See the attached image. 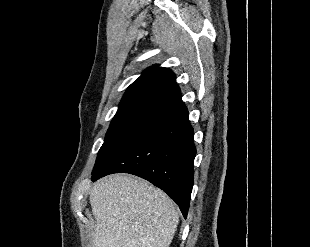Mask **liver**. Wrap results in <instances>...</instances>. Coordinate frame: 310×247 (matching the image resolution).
I'll list each match as a JSON object with an SVG mask.
<instances>
[{
	"label": "liver",
	"mask_w": 310,
	"mask_h": 247,
	"mask_svg": "<svg viewBox=\"0 0 310 247\" xmlns=\"http://www.w3.org/2000/svg\"><path fill=\"white\" fill-rule=\"evenodd\" d=\"M92 247H169L179 223L173 201L149 182L112 175L95 183Z\"/></svg>",
	"instance_id": "6515ba94"
}]
</instances>
